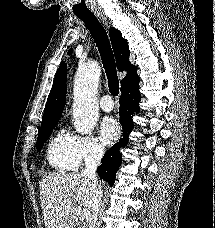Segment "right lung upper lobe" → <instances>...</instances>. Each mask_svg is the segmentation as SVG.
<instances>
[{
    "label": "right lung upper lobe",
    "instance_id": "cb5924a9",
    "mask_svg": "<svg viewBox=\"0 0 215 228\" xmlns=\"http://www.w3.org/2000/svg\"><path fill=\"white\" fill-rule=\"evenodd\" d=\"M110 39L116 58L117 69L119 71H127L126 76L121 81L122 85L126 78L137 74V67L129 62L130 51L127 41L113 27L110 28ZM66 75V64L62 62L56 72L54 83L47 99L42 124L58 122L61 118L66 101Z\"/></svg>",
    "mask_w": 215,
    "mask_h": 228
}]
</instances>
